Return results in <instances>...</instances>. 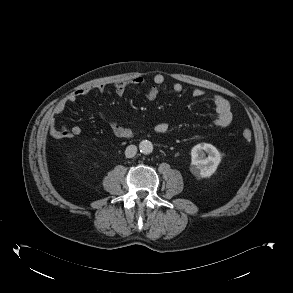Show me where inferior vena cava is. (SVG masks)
<instances>
[{"mask_svg":"<svg viewBox=\"0 0 293 293\" xmlns=\"http://www.w3.org/2000/svg\"><path fill=\"white\" fill-rule=\"evenodd\" d=\"M137 153V147L135 145H129L125 150V156L127 158H132Z\"/></svg>","mask_w":293,"mask_h":293,"instance_id":"602c4592","label":"inferior vena cava"}]
</instances>
